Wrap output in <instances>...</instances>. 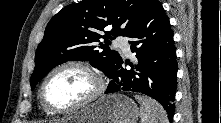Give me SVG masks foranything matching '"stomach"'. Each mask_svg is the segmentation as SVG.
<instances>
[{
	"mask_svg": "<svg viewBox=\"0 0 221 123\" xmlns=\"http://www.w3.org/2000/svg\"><path fill=\"white\" fill-rule=\"evenodd\" d=\"M140 115L137 104L123 94L102 96L60 123H136Z\"/></svg>",
	"mask_w": 221,
	"mask_h": 123,
	"instance_id": "obj_1",
	"label": "stomach"
}]
</instances>
